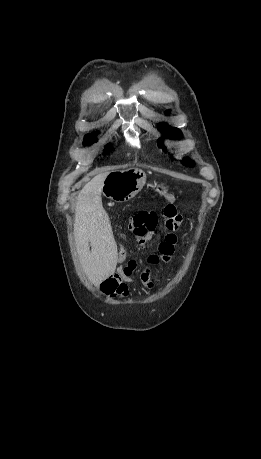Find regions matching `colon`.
<instances>
[{
  "label": "colon",
  "instance_id": "obj_1",
  "mask_svg": "<svg viewBox=\"0 0 261 459\" xmlns=\"http://www.w3.org/2000/svg\"><path fill=\"white\" fill-rule=\"evenodd\" d=\"M154 192L164 200V205L161 208V217L164 224H159L158 215L154 211H142L137 213L130 221L129 228H132L135 233L145 234L150 231H154L158 225V228L162 231H166L167 238L177 237V228L182 223V216L177 212L175 203L176 197L170 192L169 188L165 185H155ZM167 229H166V228ZM127 232L126 230L124 231ZM128 236L124 235L119 239L120 245L116 248L119 253L118 258L124 261L131 259V254L128 252L129 242L127 241Z\"/></svg>",
  "mask_w": 261,
  "mask_h": 459
}]
</instances>
